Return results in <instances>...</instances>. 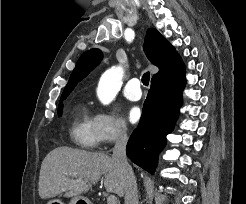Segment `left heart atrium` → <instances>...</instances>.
<instances>
[{"instance_id":"left-heart-atrium-1","label":"left heart atrium","mask_w":246,"mask_h":204,"mask_svg":"<svg viewBox=\"0 0 246 204\" xmlns=\"http://www.w3.org/2000/svg\"><path fill=\"white\" fill-rule=\"evenodd\" d=\"M142 116V111L139 107L133 106L128 110L127 118L132 124L137 123Z\"/></svg>"}]
</instances>
